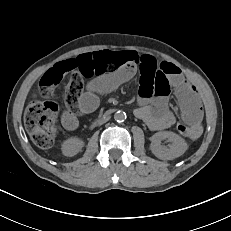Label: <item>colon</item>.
Wrapping results in <instances>:
<instances>
[{
  "label": "colon",
  "mask_w": 231,
  "mask_h": 231,
  "mask_svg": "<svg viewBox=\"0 0 231 231\" xmlns=\"http://www.w3.org/2000/svg\"><path fill=\"white\" fill-rule=\"evenodd\" d=\"M159 85H162L161 81ZM184 86L194 91V87L188 81L184 82ZM38 93L41 98L31 100L24 113V123L34 144L41 148H48L54 141L59 107L52 100L54 92L51 82L41 80ZM176 130L185 137L193 135V128L182 122L176 125Z\"/></svg>",
  "instance_id": "5ec220e1"
}]
</instances>
